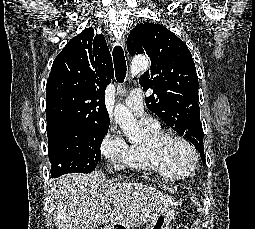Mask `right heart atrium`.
<instances>
[{"mask_svg":"<svg viewBox=\"0 0 255 229\" xmlns=\"http://www.w3.org/2000/svg\"><path fill=\"white\" fill-rule=\"evenodd\" d=\"M100 148L107 162L114 167H118L124 162L128 146L119 131L111 127Z\"/></svg>","mask_w":255,"mask_h":229,"instance_id":"1","label":"right heart atrium"}]
</instances>
